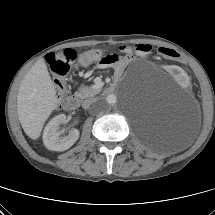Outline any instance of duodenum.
Returning <instances> with one entry per match:
<instances>
[{
    "mask_svg": "<svg viewBox=\"0 0 215 215\" xmlns=\"http://www.w3.org/2000/svg\"><path fill=\"white\" fill-rule=\"evenodd\" d=\"M114 88V85L110 86L107 91L111 92ZM81 104V98L78 95L70 96L65 102V109L67 111H74L79 108Z\"/></svg>",
    "mask_w": 215,
    "mask_h": 215,
    "instance_id": "1",
    "label": "duodenum"
}]
</instances>
